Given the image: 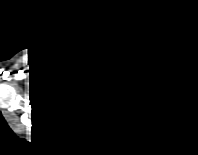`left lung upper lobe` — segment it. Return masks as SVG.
<instances>
[{"label":"left lung upper lobe","mask_w":198,"mask_h":155,"mask_svg":"<svg viewBox=\"0 0 198 155\" xmlns=\"http://www.w3.org/2000/svg\"><path fill=\"white\" fill-rule=\"evenodd\" d=\"M123 91L129 100L140 106L154 104L162 97L159 84L141 71L133 72L125 80Z\"/></svg>","instance_id":"1"}]
</instances>
